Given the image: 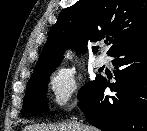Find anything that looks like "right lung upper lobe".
Returning a JSON list of instances; mask_svg holds the SVG:
<instances>
[{
  "instance_id": "cb5924a9",
  "label": "right lung upper lobe",
  "mask_w": 147,
  "mask_h": 131,
  "mask_svg": "<svg viewBox=\"0 0 147 131\" xmlns=\"http://www.w3.org/2000/svg\"><path fill=\"white\" fill-rule=\"evenodd\" d=\"M147 35V0H79L63 9L52 26L33 75L54 69L63 51L111 36V56L123 46ZM97 47H92L95 51ZM32 75V76H33Z\"/></svg>"
}]
</instances>
